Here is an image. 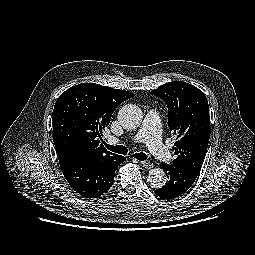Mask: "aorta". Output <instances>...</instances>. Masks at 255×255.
Returning a JSON list of instances; mask_svg holds the SVG:
<instances>
[{
  "instance_id": "762f6f07",
  "label": "aorta",
  "mask_w": 255,
  "mask_h": 255,
  "mask_svg": "<svg viewBox=\"0 0 255 255\" xmlns=\"http://www.w3.org/2000/svg\"><path fill=\"white\" fill-rule=\"evenodd\" d=\"M118 121L124 129L137 128L143 119L141 109L134 104H126L118 111ZM166 174L161 168H153L149 171L147 181L152 188H162L166 183Z\"/></svg>"
}]
</instances>
